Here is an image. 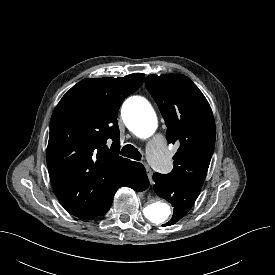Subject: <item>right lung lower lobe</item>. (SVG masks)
<instances>
[{
    "label": "right lung lower lobe",
    "instance_id": "right-lung-lower-lobe-1",
    "mask_svg": "<svg viewBox=\"0 0 275 275\" xmlns=\"http://www.w3.org/2000/svg\"><path fill=\"white\" fill-rule=\"evenodd\" d=\"M148 185H149V181H148V178L146 175L145 168L142 164L137 163L136 165L132 166L130 168V170L128 171V173L125 175L120 187L127 186V187H130L136 191H143L148 187ZM113 197L106 204V206L98 214H96L93 218L101 216L109 210V208L112 204Z\"/></svg>",
    "mask_w": 275,
    "mask_h": 275
}]
</instances>
